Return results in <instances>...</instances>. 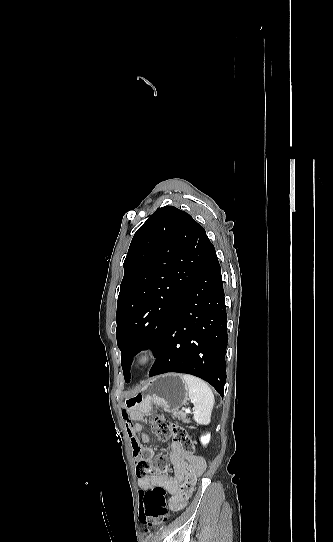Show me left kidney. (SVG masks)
Listing matches in <instances>:
<instances>
[{"instance_id": "obj_1", "label": "left kidney", "mask_w": 333, "mask_h": 542, "mask_svg": "<svg viewBox=\"0 0 333 542\" xmlns=\"http://www.w3.org/2000/svg\"><path fill=\"white\" fill-rule=\"evenodd\" d=\"M200 442H201V444H203V446H206V444H209V442H210V434H206V436H201Z\"/></svg>"}]
</instances>
